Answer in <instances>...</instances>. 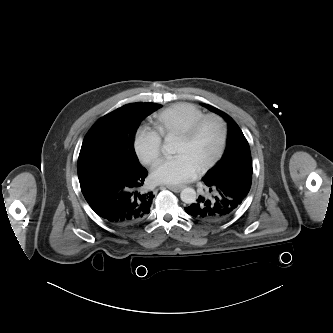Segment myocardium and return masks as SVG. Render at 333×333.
I'll list each match as a JSON object with an SVG mask.
<instances>
[{"label": "myocardium", "mask_w": 333, "mask_h": 333, "mask_svg": "<svg viewBox=\"0 0 333 333\" xmlns=\"http://www.w3.org/2000/svg\"><path fill=\"white\" fill-rule=\"evenodd\" d=\"M209 120H214L220 125L221 129V138H220V143L218 146V149L214 156L209 159L206 163H204L202 166L198 168V172L202 173L213 167L222 157L227 140H228V124L227 121L219 114L211 113V114H206L199 118L197 121H195L189 128H187L185 131H183L181 134L178 135V138H181L185 141H190L192 140L200 128L203 126V124Z\"/></svg>", "instance_id": "1"}]
</instances>
